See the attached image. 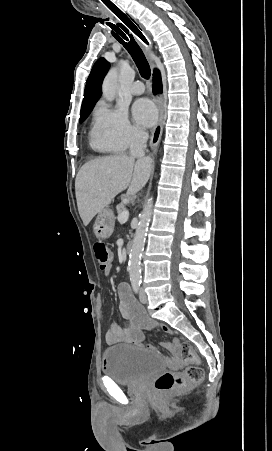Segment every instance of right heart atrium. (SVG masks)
<instances>
[{
	"mask_svg": "<svg viewBox=\"0 0 272 451\" xmlns=\"http://www.w3.org/2000/svg\"><path fill=\"white\" fill-rule=\"evenodd\" d=\"M94 133L99 140L125 149L137 135L138 129L129 121L125 108H112L102 103L95 112Z\"/></svg>",
	"mask_w": 272,
	"mask_h": 451,
	"instance_id": "d8ad5b80",
	"label": "right heart atrium"
}]
</instances>
